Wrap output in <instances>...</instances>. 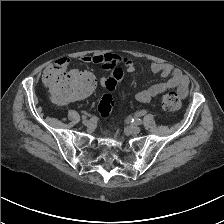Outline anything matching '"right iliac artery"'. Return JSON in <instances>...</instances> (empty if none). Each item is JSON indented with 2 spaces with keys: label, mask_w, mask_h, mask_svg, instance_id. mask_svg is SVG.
Here are the masks:
<instances>
[{
  "label": "right iliac artery",
  "mask_w": 224,
  "mask_h": 224,
  "mask_svg": "<svg viewBox=\"0 0 224 224\" xmlns=\"http://www.w3.org/2000/svg\"><path fill=\"white\" fill-rule=\"evenodd\" d=\"M90 121H91L92 123H96V122H97V118H96L95 116H93V117H91Z\"/></svg>",
  "instance_id": "1"
}]
</instances>
